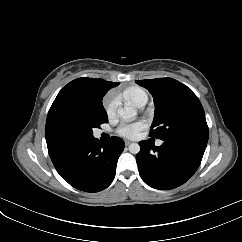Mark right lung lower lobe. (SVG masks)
I'll return each instance as SVG.
<instances>
[{
  "label": "right lung lower lobe",
  "mask_w": 242,
  "mask_h": 242,
  "mask_svg": "<svg viewBox=\"0 0 242 242\" xmlns=\"http://www.w3.org/2000/svg\"><path fill=\"white\" fill-rule=\"evenodd\" d=\"M124 147L119 137L103 144L94 136L77 135L48 148V152L57 172L71 186L99 192L112 183Z\"/></svg>",
  "instance_id": "1"
}]
</instances>
